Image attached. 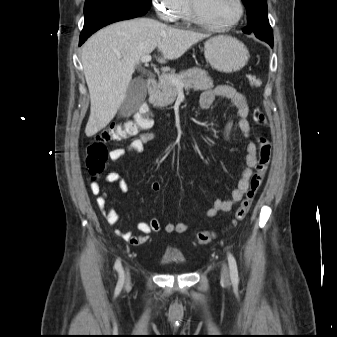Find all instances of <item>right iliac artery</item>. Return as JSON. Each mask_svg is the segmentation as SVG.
I'll return each mask as SVG.
<instances>
[{
	"instance_id": "right-iliac-artery-1",
	"label": "right iliac artery",
	"mask_w": 337,
	"mask_h": 337,
	"mask_svg": "<svg viewBox=\"0 0 337 337\" xmlns=\"http://www.w3.org/2000/svg\"><path fill=\"white\" fill-rule=\"evenodd\" d=\"M115 269L117 270V272H119L120 274V279H119V282L120 284H123V281H124V274H123V269H122V266H121V262L120 260L118 259L115 263Z\"/></svg>"
}]
</instances>
